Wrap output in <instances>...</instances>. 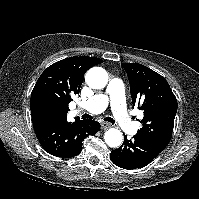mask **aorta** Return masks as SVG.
<instances>
[{"mask_svg":"<svg viewBox=\"0 0 199 199\" xmlns=\"http://www.w3.org/2000/svg\"><path fill=\"white\" fill-rule=\"evenodd\" d=\"M85 81L90 88L102 89L108 83V74L106 70L101 67H93L86 73ZM104 140L110 147H119L122 144L123 135L120 130L111 128L105 132Z\"/></svg>","mask_w":199,"mask_h":199,"instance_id":"aorta-1","label":"aorta"}]
</instances>
